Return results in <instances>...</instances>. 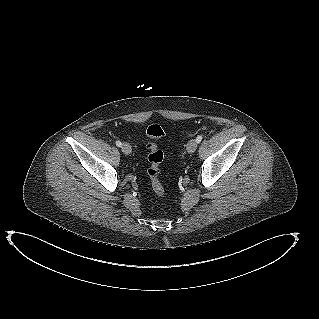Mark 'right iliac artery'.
Masks as SVG:
<instances>
[{"mask_svg": "<svg viewBox=\"0 0 319 319\" xmlns=\"http://www.w3.org/2000/svg\"><path fill=\"white\" fill-rule=\"evenodd\" d=\"M116 145H117L118 147H121V146H122V143H121L120 141H116Z\"/></svg>", "mask_w": 319, "mask_h": 319, "instance_id": "right-iliac-artery-1", "label": "right iliac artery"}]
</instances>
